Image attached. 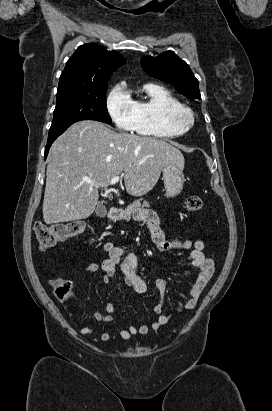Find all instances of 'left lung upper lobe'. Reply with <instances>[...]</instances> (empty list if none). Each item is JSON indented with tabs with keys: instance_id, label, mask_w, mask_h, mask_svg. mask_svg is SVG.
I'll return each mask as SVG.
<instances>
[{
	"instance_id": "obj_1",
	"label": "left lung upper lobe",
	"mask_w": 272,
	"mask_h": 411,
	"mask_svg": "<svg viewBox=\"0 0 272 411\" xmlns=\"http://www.w3.org/2000/svg\"><path fill=\"white\" fill-rule=\"evenodd\" d=\"M141 65L147 74L173 85L189 99H201L198 80L188 64L173 51H167L157 57L145 56Z\"/></svg>"
}]
</instances>
